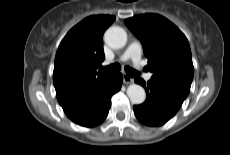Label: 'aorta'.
Wrapping results in <instances>:
<instances>
[{
  "label": "aorta",
  "instance_id": "1",
  "mask_svg": "<svg viewBox=\"0 0 230 155\" xmlns=\"http://www.w3.org/2000/svg\"><path fill=\"white\" fill-rule=\"evenodd\" d=\"M104 40L109 47L119 49L125 46L127 34L123 28L113 26L106 30ZM127 96L129 97L131 103L141 104L145 101L146 93L142 86L138 84H131L127 88Z\"/></svg>",
  "mask_w": 230,
  "mask_h": 155
}]
</instances>
